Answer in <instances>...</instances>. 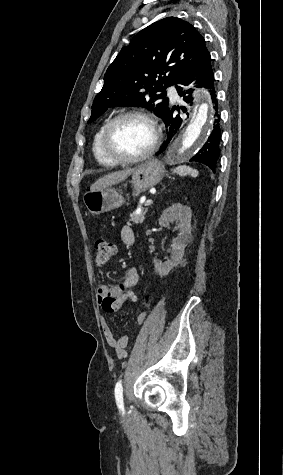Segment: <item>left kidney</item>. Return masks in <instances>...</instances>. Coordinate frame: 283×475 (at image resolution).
Masks as SVG:
<instances>
[{
    "label": "left kidney",
    "instance_id": "5707ae66",
    "mask_svg": "<svg viewBox=\"0 0 283 475\" xmlns=\"http://www.w3.org/2000/svg\"><path fill=\"white\" fill-rule=\"evenodd\" d=\"M191 210L187 206H182V204H172L170 208L164 210L161 218H159L160 226L167 228L169 224L176 222L174 230H179L177 238L172 239V249L170 259L167 261H160L157 257H154L153 263L155 271L159 275H168L172 267H176L180 261L183 259L184 249L191 241Z\"/></svg>",
    "mask_w": 283,
    "mask_h": 475
}]
</instances>
